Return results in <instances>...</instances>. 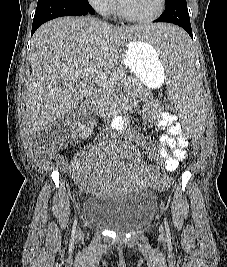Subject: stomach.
<instances>
[{"label": "stomach", "mask_w": 227, "mask_h": 267, "mask_svg": "<svg viewBox=\"0 0 227 267\" xmlns=\"http://www.w3.org/2000/svg\"><path fill=\"white\" fill-rule=\"evenodd\" d=\"M125 66L147 87H158L166 76L167 63L155 55V47H148V43H133L127 41L123 54Z\"/></svg>", "instance_id": "stomach-1"}]
</instances>
